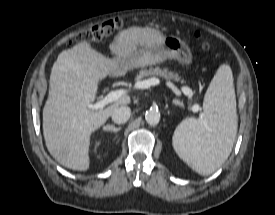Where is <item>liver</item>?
<instances>
[{
    "instance_id": "1",
    "label": "liver",
    "mask_w": 275,
    "mask_h": 215,
    "mask_svg": "<svg viewBox=\"0 0 275 215\" xmlns=\"http://www.w3.org/2000/svg\"><path fill=\"white\" fill-rule=\"evenodd\" d=\"M162 37L153 29L133 27L120 32L109 45L113 58L105 57L88 43H79L59 54L51 70L49 96L43 109L46 147L59 164L77 171L89 169L91 134L115 108L130 103V97L124 95L104 110L89 109L99 82L117 73L120 58L150 49Z\"/></svg>"
}]
</instances>
